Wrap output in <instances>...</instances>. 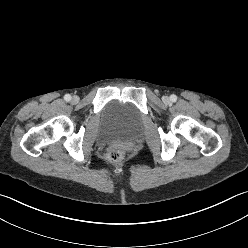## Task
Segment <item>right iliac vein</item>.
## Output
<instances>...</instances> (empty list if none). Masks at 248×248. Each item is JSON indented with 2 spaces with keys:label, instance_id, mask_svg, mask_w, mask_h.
<instances>
[{
  "label": "right iliac vein",
  "instance_id": "right-iliac-vein-1",
  "mask_svg": "<svg viewBox=\"0 0 248 248\" xmlns=\"http://www.w3.org/2000/svg\"><path fill=\"white\" fill-rule=\"evenodd\" d=\"M71 101H72V103H77L79 101V97L73 96Z\"/></svg>",
  "mask_w": 248,
  "mask_h": 248
}]
</instances>
